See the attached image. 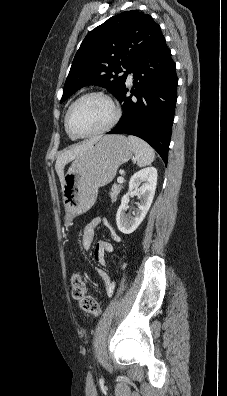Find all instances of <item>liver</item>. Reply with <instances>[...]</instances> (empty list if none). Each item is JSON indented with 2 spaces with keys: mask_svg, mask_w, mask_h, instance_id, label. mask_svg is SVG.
Returning a JSON list of instances; mask_svg holds the SVG:
<instances>
[{
  "mask_svg": "<svg viewBox=\"0 0 227 396\" xmlns=\"http://www.w3.org/2000/svg\"><path fill=\"white\" fill-rule=\"evenodd\" d=\"M99 138H93L90 140H87L83 142L80 145H76L73 148H71L68 151H65L62 153L56 160L55 164V169L56 172L59 176L61 186L63 188V182H64V167L65 165L74 160L76 157H78L84 150H86L88 147H90L94 142H96Z\"/></svg>",
  "mask_w": 227,
  "mask_h": 396,
  "instance_id": "6515ba94",
  "label": "liver"
}]
</instances>
